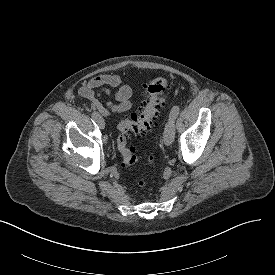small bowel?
I'll list each match as a JSON object with an SVG mask.
<instances>
[{"label":"small bowel","mask_w":275,"mask_h":275,"mask_svg":"<svg viewBox=\"0 0 275 275\" xmlns=\"http://www.w3.org/2000/svg\"><path fill=\"white\" fill-rule=\"evenodd\" d=\"M112 88H118L114 101H100L97 97L110 95ZM79 94L92 102V108L106 118L117 113L127 112L131 108L132 88L123 83L118 75H98L87 81L79 90Z\"/></svg>","instance_id":"obj_1"}]
</instances>
